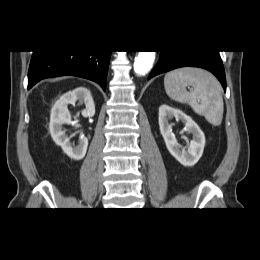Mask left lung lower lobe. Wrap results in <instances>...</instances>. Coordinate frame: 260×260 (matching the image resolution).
Here are the masks:
<instances>
[{"label":"left lung lower lobe","instance_id":"1","mask_svg":"<svg viewBox=\"0 0 260 260\" xmlns=\"http://www.w3.org/2000/svg\"><path fill=\"white\" fill-rule=\"evenodd\" d=\"M180 67H199L212 72L226 91V78L218 50L160 51L159 61L148 79Z\"/></svg>","mask_w":260,"mask_h":260}]
</instances>
